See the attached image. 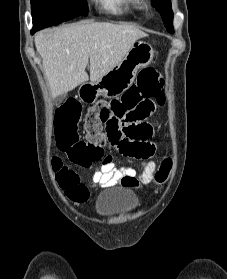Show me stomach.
<instances>
[{"instance_id":"stomach-1","label":"stomach","mask_w":227,"mask_h":279,"mask_svg":"<svg viewBox=\"0 0 227 279\" xmlns=\"http://www.w3.org/2000/svg\"><path fill=\"white\" fill-rule=\"evenodd\" d=\"M154 57L150 43L137 40L113 69L94 82H86L79 87L78 95L84 103H94L102 95L114 98L126 91L134 82L137 71L149 65Z\"/></svg>"}]
</instances>
